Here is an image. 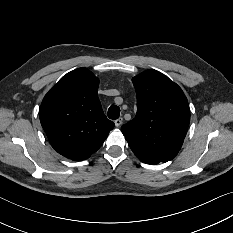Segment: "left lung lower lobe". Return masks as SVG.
<instances>
[{"label": "left lung lower lobe", "instance_id": "0a47b994", "mask_svg": "<svg viewBox=\"0 0 233 233\" xmlns=\"http://www.w3.org/2000/svg\"><path fill=\"white\" fill-rule=\"evenodd\" d=\"M134 154L144 163L146 164H158L159 162H166L160 158L154 157L152 155L146 154L142 151H139L137 149H132Z\"/></svg>", "mask_w": 233, "mask_h": 233}]
</instances>
